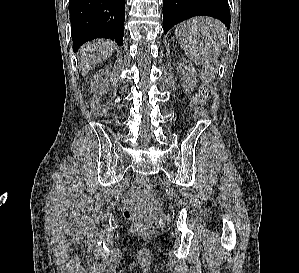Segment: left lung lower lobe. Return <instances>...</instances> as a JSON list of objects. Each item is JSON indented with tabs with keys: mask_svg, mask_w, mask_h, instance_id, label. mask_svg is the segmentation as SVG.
Returning <instances> with one entry per match:
<instances>
[{
	"mask_svg": "<svg viewBox=\"0 0 299 273\" xmlns=\"http://www.w3.org/2000/svg\"><path fill=\"white\" fill-rule=\"evenodd\" d=\"M199 15L217 18L230 26L227 0H163L164 34L175 24Z\"/></svg>",
	"mask_w": 299,
	"mask_h": 273,
	"instance_id": "obj_1",
	"label": "left lung lower lobe"
}]
</instances>
